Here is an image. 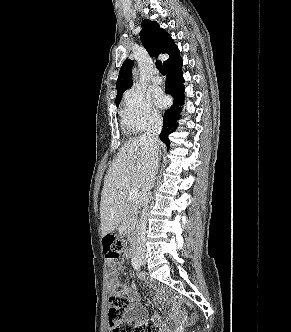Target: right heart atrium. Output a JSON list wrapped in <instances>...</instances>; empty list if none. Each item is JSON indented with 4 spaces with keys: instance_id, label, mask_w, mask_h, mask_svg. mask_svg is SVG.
<instances>
[{
    "instance_id": "obj_1",
    "label": "right heart atrium",
    "mask_w": 291,
    "mask_h": 332,
    "mask_svg": "<svg viewBox=\"0 0 291 332\" xmlns=\"http://www.w3.org/2000/svg\"><path fill=\"white\" fill-rule=\"evenodd\" d=\"M122 117L126 128L133 132L149 130L161 122L150 98L139 88H131L124 94Z\"/></svg>"
}]
</instances>
